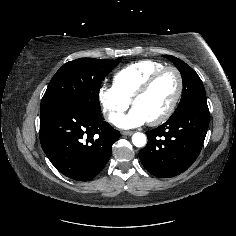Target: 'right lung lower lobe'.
<instances>
[{"label":"right lung lower lobe","instance_id":"right-lung-lower-lobe-1","mask_svg":"<svg viewBox=\"0 0 236 236\" xmlns=\"http://www.w3.org/2000/svg\"><path fill=\"white\" fill-rule=\"evenodd\" d=\"M120 137L102 118L75 103L60 102L40 111L41 146L57 170L90 181L105 167Z\"/></svg>","mask_w":236,"mask_h":236}]
</instances>
